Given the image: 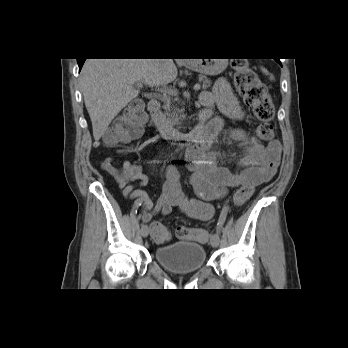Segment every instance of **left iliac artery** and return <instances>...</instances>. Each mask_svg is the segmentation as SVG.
<instances>
[{"mask_svg": "<svg viewBox=\"0 0 348 348\" xmlns=\"http://www.w3.org/2000/svg\"><path fill=\"white\" fill-rule=\"evenodd\" d=\"M231 213V210L229 209V205H224V208L222 209L221 215L218 219V226H217V233H220L222 224L224 223L225 218L227 215Z\"/></svg>", "mask_w": 348, "mask_h": 348, "instance_id": "44dca946", "label": "left iliac artery"}]
</instances>
